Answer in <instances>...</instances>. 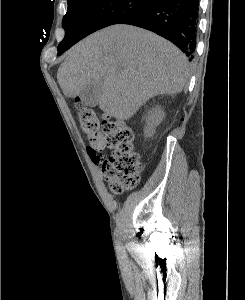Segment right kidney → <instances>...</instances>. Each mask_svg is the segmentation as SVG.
<instances>
[{
  "instance_id": "obj_1",
  "label": "right kidney",
  "mask_w": 245,
  "mask_h": 300,
  "mask_svg": "<svg viewBox=\"0 0 245 300\" xmlns=\"http://www.w3.org/2000/svg\"><path fill=\"white\" fill-rule=\"evenodd\" d=\"M164 112L158 106L152 111L148 112V116L146 117L147 126L145 127V136L151 137L155 133V128L158 126L163 120Z\"/></svg>"
}]
</instances>
